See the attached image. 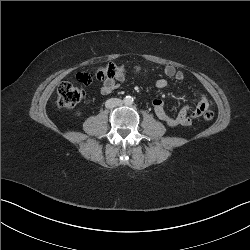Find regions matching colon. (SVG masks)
Returning <instances> with one entry per match:
<instances>
[{
	"label": "colon",
	"instance_id": "5ec220e1",
	"mask_svg": "<svg viewBox=\"0 0 250 250\" xmlns=\"http://www.w3.org/2000/svg\"><path fill=\"white\" fill-rule=\"evenodd\" d=\"M134 73L140 74V69H135ZM124 75L125 68L123 66L108 64L104 67L98 68L93 76L89 73H80L77 77L82 84L87 85L92 81L93 77L97 80H105ZM83 98L84 91L81 88L75 86L70 81H62L58 87L57 102L58 105L63 108L73 107L81 102ZM203 118L207 121L211 120L213 118V112L209 109L205 110L203 112Z\"/></svg>",
	"mask_w": 250,
	"mask_h": 250
}]
</instances>
